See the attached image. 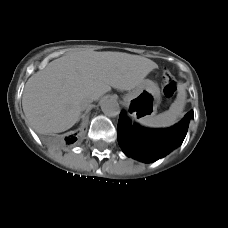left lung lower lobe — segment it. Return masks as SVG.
<instances>
[{
  "label": "left lung lower lobe",
  "instance_id": "left-lung-lower-lobe-1",
  "mask_svg": "<svg viewBox=\"0 0 228 228\" xmlns=\"http://www.w3.org/2000/svg\"><path fill=\"white\" fill-rule=\"evenodd\" d=\"M192 118L191 110L170 128L148 129L132 125L122 111L117 127L118 143L127 156L143 162L156 161L182 144Z\"/></svg>",
  "mask_w": 228,
  "mask_h": 228
}]
</instances>
